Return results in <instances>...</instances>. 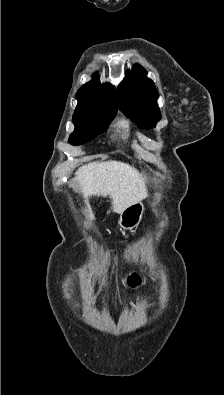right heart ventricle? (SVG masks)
<instances>
[{"mask_svg":"<svg viewBox=\"0 0 224 395\" xmlns=\"http://www.w3.org/2000/svg\"><path fill=\"white\" fill-rule=\"evenodd\" d=\"M129 123H128V121H126V120H121L119 123H118V128L120 129V131L122 132V135L123 136H127L128 135V132H129Z\"/></svg>","mask_w":224,"mask_h":395,"instance_id":"right-heart-ventricle-1","label":"right heart ventricle"}]
</instances>
